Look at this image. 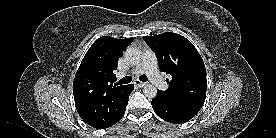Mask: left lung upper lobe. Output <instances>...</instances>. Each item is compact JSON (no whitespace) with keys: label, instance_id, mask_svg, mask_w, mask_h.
Returning a JSON list of instances; mask_svg holds the SVG:
<instances>
[{"label":"left lung upper lobe","instance_id":"obj_1","mask_svg":"<svg viewBox=\"0 0 276 138\" xmlns=\"http://www.w3.org/2000/svg\"><path fill=\"white\" fill-rule=\"evenodd\" d=\"M143 40L155 52L161 72L172 76L169 87L162 95L184 107L200 110L207 89L204 62L194 45L185 37L166 32L144 36Z\"/></svg>","mask_w":276,"mask_h":138}]
</instances>
